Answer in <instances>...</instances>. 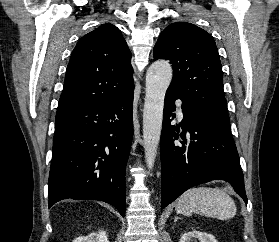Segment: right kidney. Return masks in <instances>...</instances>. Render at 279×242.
<instances>
[{
	"instance_id": "right-kidney-1",
	"label": "right kidney",
	"mask_w": 279,
	"mask_h": 242,
	"mask_svg": "<svg viewBox=\"0 0 279 242\" xmlns=\"http://www.w3.org/2000/svg\"><path fill=\"white\" fill-rule=\"evenodd\" d=\"M73 242H109L106 232L101 230L98 233H91L88 236H80Z\"/></svg>"
}]
</instances>
